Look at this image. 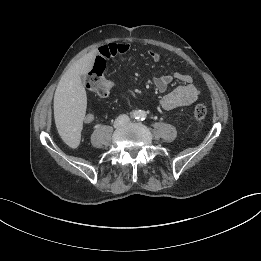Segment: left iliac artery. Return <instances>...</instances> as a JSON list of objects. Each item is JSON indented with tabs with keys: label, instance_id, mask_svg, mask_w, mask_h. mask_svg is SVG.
I'll return each instance as SVG.
<instances>
[{
	"label": "left iliac artery",
	"instance_id": "left-iliac-artery-1",
	"mask_svg": "<svg viewBox=\"0 0 261 261\" xmlns=\"http://www.w3.org/2000/svg\"><path fill=\"white\" fill-rule=\"evenodd\" d=\"M145 116H146L145 113L142 112V113L140 114V119H141V120H144V119H145Z\"/></svg>",
	"mask_w": 261,
	"mask_h": 261
}]
</instances>
